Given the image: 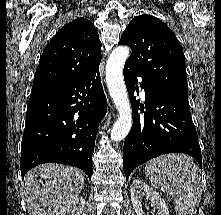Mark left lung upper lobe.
Masks as SVG:
<instances>
[{
  "label": "left lung upper lobe",
  "instance_id": "left-lung-upper-lobe-1",
  "mask_svg": "<svg viewBox=\"0 0 221 215\" xmlns=\"http://www.w3.org/2000/svg\"><path fill=\"white\" fill-rule=\"evenodd\" d=\"M119 44L130 46L133 52L125 66L166 89L188 96L182 47L161 20L148 14L135 17Z\"/></svg>",
  "mask_w": 221,
  "mask_h": 215
}]
</instances>
